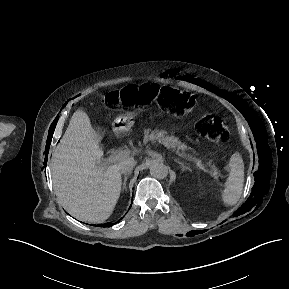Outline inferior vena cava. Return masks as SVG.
I'll return each mask as SVG.
<instances>
[{"mask_svg": "<svg viewBox=\"0 0 289 289\" xmlns=\"http://www.w3.org/2000/svg\"><path fill=\"white\" fill-rule=\"evenodd\" d=\"M135 165L136 160L130 157L120 162L117 167L122 174H128L131 173Z\"/></svg>", "mask_w": 289, "mask_h": 289, "instance_id": "602c4592", "label": "inferior vena cava"}]
</instances>
